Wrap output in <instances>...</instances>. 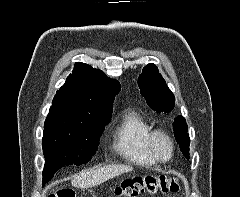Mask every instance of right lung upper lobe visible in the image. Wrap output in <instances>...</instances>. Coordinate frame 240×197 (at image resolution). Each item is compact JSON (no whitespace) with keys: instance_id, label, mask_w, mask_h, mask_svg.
Here are the masks:
<instances>
[{"instance_id":"1","label":"right lung upper lobe","mask_w":240,"mask_h":197,"mask_svg":"<svg viewBox=\"0 0 240 197\" xmlns=\"http://www.w3.org/2000/svg\"><path fill=\"white\" fill-rule=\"evenodd\" d=\"M119 91L120 83L117 80L109 79L101 70L78 62L57 91L47 120L108 122L114 97Z\"/></svg>"}]
</instances>
